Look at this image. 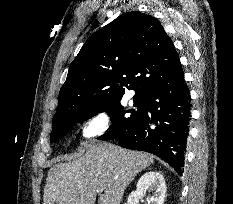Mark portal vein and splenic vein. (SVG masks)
Segmentation results:
<instances>
[{"label":"portal vein and splenic vein","mask_w":233,"mask_h":204,"mask_svg":"<svg viewBox=\"0 0 233 204\" xmlns=\"http://www.w3.org/2000/svg\"><path fill=\"white\" fill-rule=\"evenodd\" d=\"M102 190H103V188H99V189H98V191H102Z\"/></svg>","instance_id":"18ae733b"}]
</instances>
